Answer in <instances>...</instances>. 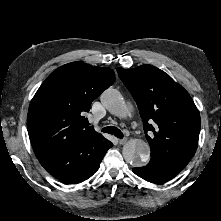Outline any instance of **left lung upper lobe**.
Returning <instances> with one entry per match:
<instances>
[{
  "label": "left lung upper lobe",
  "mask_w": 221,
  "mask_h": 221,
  "mask_svg": "<svg viewBox=\"0 0 221 221\" xmlns=\"http://www.w3.org/2000/svg\"><path fill=\"white\" fill-rule=\"evenodd\" d=\"M117 71L137 103L151 159L182 170L196 152L200 132V114L191 96L152 65Z\"/></svg>",
  "instance_id": "obj_1"
}]
</instances>
